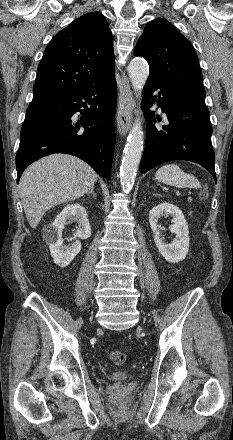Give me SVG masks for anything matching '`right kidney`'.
Instances as JSON below:
<instances>
[{
    "label": "right kidney",
    "mask_w": 233,
    "mask_h": 440,
    "mask_svg": "<svg viewBox=\"0 0 233 440\" xmlns=\"http://www.w3.org/2000/svg\"><path fill=\"white\" fill-rule=\"evenodd\" d=\"M75 218L79 228L75 238L88 239L91 236V227L84 207L80 204L67 205L55 218L51 225L45 228V240L50 248L51 256L56 265L66 267L81 250V242L76 240L70 246H63L62 232L68 220Z\"/></svg>",
    "instance_id": "right-kidney-1"
}]
</instances>
